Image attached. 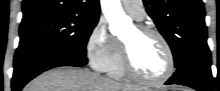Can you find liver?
I'll list each match as a JSON object with an SVG mask.
<instances>
[{
  "label": "liver",
  "instance_id": "liver-1",
  "mask_svg": "<svg viewBox=\"0 0 220 91\" xmlns=\"http://www.w3.org/2000/svg\"><path fill=\"white\" fill-rule=\"evenodd\" d=\"M23 91H138L89 70L62 66L51 69L29 82Z\"/></svg>",
  "mask_w": 220,
  "mask_h": 91
}]
</instances>
